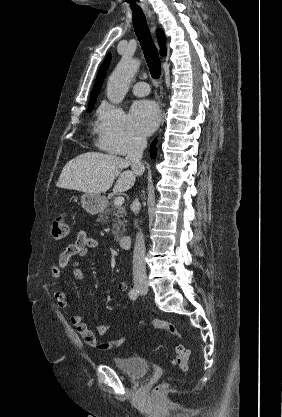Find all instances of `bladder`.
I'll list each match as a JSON object with an SVG mask.
<instances>
[{
    "label": "bladder",
    "mask_w": 282,
    "mask_h": 417,
    "mask_svg": "<svg viewBox=\"0 0 282 417\" xmlns=\"http://www.w3.org/2000/svg\"><path fill=\"white\" fill-rule=\"evenodd\" d=\"M111 364L132 379H141L150 371V364L141 356L114 357Z\"/></svg>",
    "instance_id": "31cf9c89"
}]
</instances>
